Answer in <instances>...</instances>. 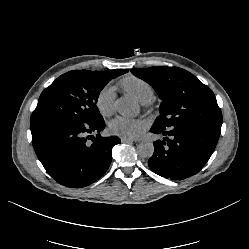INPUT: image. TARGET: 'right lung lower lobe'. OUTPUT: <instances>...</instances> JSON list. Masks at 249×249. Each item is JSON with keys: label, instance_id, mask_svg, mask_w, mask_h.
Instances as JSON below:
<instances>
[{"label": "right lung lower lobe", "instance_id": "obj_1", "mask_svg": "<svg viewBox=\"0 0 249 249\" xmlns=\"http://www.w3.org/2000/svg\"><path fill=\"white\" fill-rule=\"evenodd\" d=\"M30 128L34 150L46 171L58 183L73 188L98 180L109 168L113 146L121 142L117 136L100 135L104 120L85 124L62 118L40 119L31 121ZM92 134H96L95 139Z\"/></svg>", "mask_w": 249, "mask_h": 249}]
</instances>
